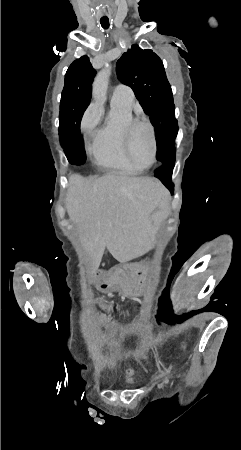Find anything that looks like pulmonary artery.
<instances>
[{"instance_id":"obj_1","label":"pulmonary artery","mask_w":241,"mask_h":450,"mask_svg":"<svg viewBox=\"0 0 241 450\" xmlns=\"http://www.w3.org/2000/svg\"><path fill=\"white\" fill-rule=\"evenodd\" d=\"M133 98H134L133 93L130 88L125 87L123 89H120L119 87H117L112 94L111 100L112 102L121 101L126 102L128 104H132Z\"/></svg>"}]
</instances>
